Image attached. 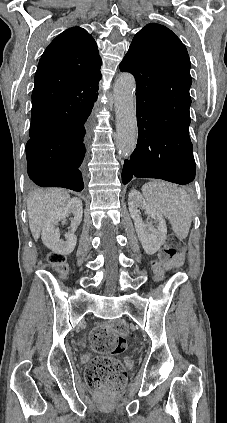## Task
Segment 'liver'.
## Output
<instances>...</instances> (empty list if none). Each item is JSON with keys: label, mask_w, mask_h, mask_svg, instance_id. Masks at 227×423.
<instances>
[{"label": "liver", "mask_w": 227, "mask_h": 423, "mask_svg": "<svg viewBox=\"0 0 227 423\" xmlns=\"http://www.w3.org/2000/svg\"><path fill=\"white\" fill-rule=\"evenodd\" d=\"M67 200H69V194L63 192V190H57V188H49V190L30 194L27 200V210L30 231L35 241H38L43 223L49 213L56 208H60V206H64Z\"/></svg>", "instance_id": "1"}]
</instances>
